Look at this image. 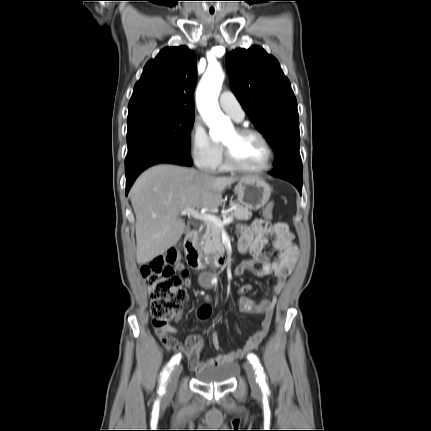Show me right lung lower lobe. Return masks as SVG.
<instances>
[{
  "label": "right lung lower lobe",
  "instance_id": "obj_1",
  "mask_svg": "<svg viewBox=\"0 0 431 431\" xmlns=\"http://www.w3.org/2000/svg\"><path fill=\"white\" fill-rule=\"evenodd\" d=\"M159 163L192 165L190 154L163 140H148L128 149L125 160L126 194L138 175Z\"/></svg>",
  "mask_w": 431,
  "mask_h": 431
}]
</instances>
